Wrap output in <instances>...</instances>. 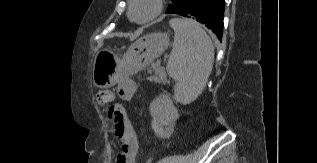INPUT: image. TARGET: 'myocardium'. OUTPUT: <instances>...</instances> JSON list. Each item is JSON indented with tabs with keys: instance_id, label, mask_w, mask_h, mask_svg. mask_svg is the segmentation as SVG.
<instances>
[{
	"instance_id": "obj_1",
	"label": "myocardium",
	"mask_w": 317,
	"mask_h": 163,
	"mask_svg": "<svg viewBox=\"0 0 317 163\" xmlns=\"http://www.w3.org/2000/svg\"><path fill=\"white\" fill-rule=\"evenodd\" d=\"M134 3H135V0H129L128 17L130 18L131 21H133L137 24H147V23L153 21L161 14L163 7H164V0H153V3H154L153 12L145 19L137 20V19L133 18V16H132V10H133Z\"/></svg>"
}]
</instances>
